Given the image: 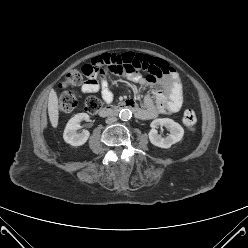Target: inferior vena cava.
<instances>
[{"label":"inferior vena cava","mask_w":248,"mask_h":248,"mask_svg":"<svg viewBox=\"0 0 248 248\" xmlns=\"http://www.w3.org/2000/svg\"><path fill=\"white\" fill-rule=\"evenodd\" d=\"M116 121H117V118L113 117V116L106 119L107 124H112V123H114Z\"/></svg>","instance_id":"inferior-vena-cava-1"}]
</instances>
